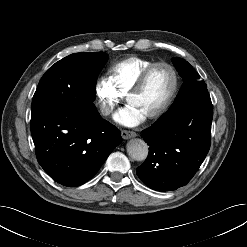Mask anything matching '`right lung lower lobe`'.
Returning a JSON list of instances; mask_svg holds the SVG:
<instances>
[{
    "label": "right lung lower lobe",
    "instance_id": "obj_1",
    "mask_svg": "<svg viewBox=\"0 0 247 247\" xmlns=\"http://www.w3.org/2000/svg\"><path fill=\"white\" fill-rule=\"evenodd\" d=\"M30 126L39 164L69 187L91 179L121 142L120 130L98 111L85 114L66 105L31 115Z\"/></svg>",
    "mask_w": 247,
    "mask_h": 247
}]
</instances>
